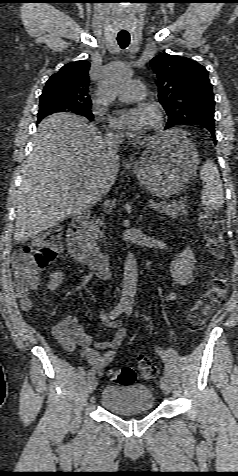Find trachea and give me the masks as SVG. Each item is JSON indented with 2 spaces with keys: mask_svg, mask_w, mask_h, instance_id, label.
<instances>
[{
  "mask_svg": "<svg viewBox=\"0 0 238 476\" xmlns=\"http://www.w3.org/2000/svg\"><path fill=\"white\" fill-rule=\"evenodd\" d=\"M117 41H118L119 46L122 49H125L126 47H128V45L130 43V36L129 35H118Z\"/></svg>",
  "mask_w": 238,
  "mask_h": 476,
  "instance_id": "1",
  "label": "trachea"
}]
</instances>
